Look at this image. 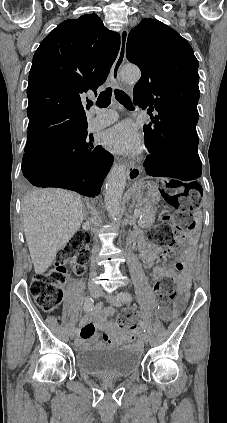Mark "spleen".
<instances>
[{
	"instance_id": "spleen-1",
	"label": "spleen",
	"mask_w": 227,
	"mask_h": 423,
	"mask_svg": "<svg viewBox=\"0 0 227 423\" xmlns=\"http://www.w3.org/2000/svg\"><path fill=\"white\" fill-rule=\"evenodd\" d=\"M194 215H195L196 219H199V217H198L199 213H194Z\"/></svg>"
}]
</instances>
